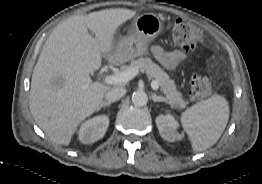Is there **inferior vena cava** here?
I'll list each match as a JSON object with an SVG mask.
<instances>
[{
	"mask_svg": "<svg viewBox=\"0 0 262 184\" xmlns=\"http://www.w3.org/2000/svg\"><path fill=\"white\" fill-rule=\"evenodd\" d=\"M126 93V90L121 87H115L108 90L105 94V99L108 102H115L119 100L121 97H123Z\"/></svg>",
	"mask_w": 262,
	"mask_h": 184,
	"instance_id": "602c4592",
	"label": "inferior vena cava"
}]
</instances>
